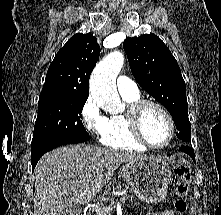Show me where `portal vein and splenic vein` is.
I'll return each mask as SVG.
<instances>
[{
	"instance_id": "portal-vein-and-splenic-vein-1",
	"label": "portal vein and splenic vein",
	"mask_w": 221,
	"mask_h": 215,
	"mask_svg": "<svg viewBox=\"0 0 221 215\" xmlns=\"http://www.w3.org/2000/svg\"><path fill=\"white\" fill-rule=\"evenodd\" d=\"M123 194V193H122ZM124 198L125 197H121L120 198V201H124ZM111 209V207H97L96 208V212L99 214V215H106L107 212Z\"/></svg>"
}]
</instances>
